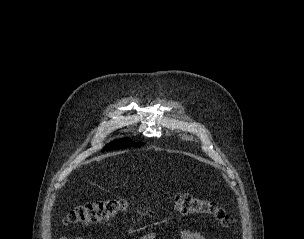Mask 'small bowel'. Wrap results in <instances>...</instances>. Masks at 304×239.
Here are the masks:
<instances>
[{
    "label": "small bowel",
    "mask_w": 304,
    "mask_h": 239,
    "mask_svg": "<svg viewBox=\"0 0 304 239\" xmlns=\"http://www.w3.org/2000/svg\"><path fill=\"white\" fill-rule=\"evenodd\" d=\"M155 236L154 233H147L140 237V239H151ZM180 239H206L200 232L195 231V230H190V229H183L180 231L179 235ZM59 239H86L83 236H78L74 238H69V237H61Z\"/></svg>",
    "instance_id": "small-bowel-1"
}]
</instances>
